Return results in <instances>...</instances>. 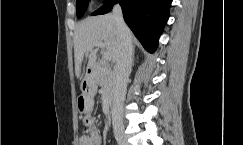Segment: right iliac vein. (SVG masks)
Returning <instances> with one entry per match:
<instances>
[{"instance_id": "right-iliac-vein-1", "label": "right iliac vein", "mask_w": 243, "mask_h": 145, "mask_svg": "<svg viewBox=\"0 0 243 145\" xmlns=\"http://www.w3.org/2000/svg\"><path fill=\"white\" fill-rule=\"evenodd\" d=\"M116 140L119 145H129V143L127 141V137L124 134H118L116 136Z\"/></svg>"}]
</instances>
